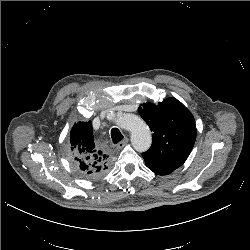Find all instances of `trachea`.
Instances as JSON below:
<instances>
[{
    "instance_id": "3493384b",
    "label": "trachea",
    "mask_w": 250,
    "mask_h": 250,
    "mask_svg": "<svg viewBox=\"0 0 250 250\" xmlns=\"http://www.w3.org/2000/svg\"><path fill=\"white\" fill-rule=\"evenodd\" d=\"M111 138L114 144H117L123 139L122 133L117 128L111 130Z\"/></svg>"
}]
</instances>
